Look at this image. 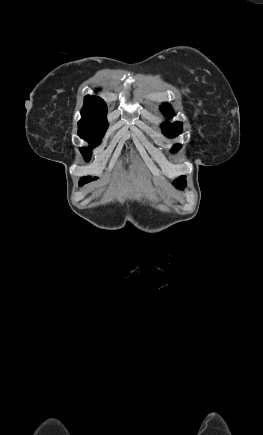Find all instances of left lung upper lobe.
<instances>
[{
	"label": "left lung upper lobe",
	"mask_w": 263,
	"mask_h": 435,
	"mask_svg": "<svg viewBox=\"0 0 263 435\" xmlns=\"http://www.w3.org/2000/svg\"><path fill=\"white\" fill-rule=\"evenodd\" d=\"M161 109L164 110V114H166V115H171L173 112L169 105L164 104L161 107ZM181 131H182V124L180 122H175L172 124H170L169 122H165L163 125V134L168 136V137H175ZM179 148H180V145L176 144L173 146L172 151H177ZM174 186L177 188L185 187L186 186L185 176H181L180 178H178V180L176 181Z\"/></svg>",
	"instance_id": "1"
}]
</instances>
